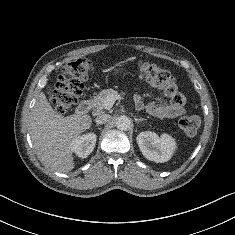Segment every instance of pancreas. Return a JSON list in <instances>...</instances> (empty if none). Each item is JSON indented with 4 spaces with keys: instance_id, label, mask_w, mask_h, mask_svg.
Wrapping results in <instances>:
<instances>
[{
    "instance_id": "cf45deb5",
    "label": "pancreas",
    "mask_w": 235,
    "mask_h": 235,
    "mask_svg": "<svg viewBox=\"0 0 235 235\" xmlns=\"http://www.w3.org/2000/svg\"><path fill=\"white\" fill-rule=\"evenodd\" d=\"M111 95H118V92L113 89L102 90L97 96L92 99L93 107H95L99 111L105 109V99Z\"/></svg>"
}]
</instances>
